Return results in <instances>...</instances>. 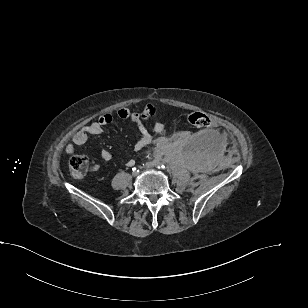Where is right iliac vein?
Returning a JSON list of instances; mask_svg holds the SVG:
<instances>
[{
	"label": "right iliac vein",
	"instance_id": "1",
	"mask_svg": "<svg viewBox=\"0 0 308 308\" xmlns=\"http://www.w3.org/2000/svg\"><path fill=\"white\" fill-rule=\"evenodd\" d=\"M138 172H132V175L135 177L137 176Z\"/></svg>",
	"mask_w": 308,
	"mask_h": 308
}]
</instances>
